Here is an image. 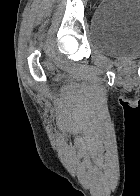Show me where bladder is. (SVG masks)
<instances>
[{
    "instance_id": "1",
    "label": "bladder",
    "mask_w": 140,
    "mask_h": 196,
    "mask_svg": "<svg viewBox=\"0 0 140 196\" xmlns=\"http://www.w3.org/2000/svg\"><path fill=\"white\" fill-rule=\"evenodd\" d=\"M89 39L106 55L140 58V0H103L91 17Z\"/></svg>"
}]
</instances>
